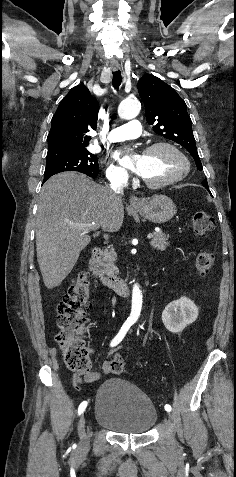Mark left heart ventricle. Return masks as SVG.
<instances>
[{"label": "left heart ventricle", "instance_id": "obj_1", "mask_svg": "<svg viewBox=\"0 0 236 477\" xmlns=\"http://www.w3.org/2000/svg\"><path fill=\"white\" fill-rule=\"evenodd\" d=\"M182 159L168 148H160L142 157L141 176L151 182L168 180L183 170Z\"/></svg>", "mask_w": 236, "mask_h": 477}]
</instances>
